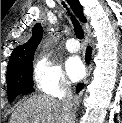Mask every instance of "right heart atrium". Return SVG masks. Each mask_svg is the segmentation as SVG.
I'll return each instance as SVG.
<instances>
[{
  "mask_svg": "<svg viewBox=\"0 0 122 123\" xmlns=\"http://www.w3.org/2000/svg\"><path fill=\"white\" fill-rule=\"evenodd\" d=\"M32 79L36 89L43 94L61 97L70 92V82L61 66L46 55H40L35 59Z\"/></svg>",
  "mask_w": 122,
  "mask_h": 123,
  "instance_id": "d8ad5b80",
  "label": "right heart atrium"
}]
</instances>
